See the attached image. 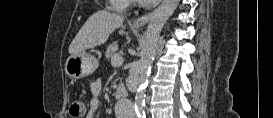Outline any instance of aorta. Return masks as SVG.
<instances>
[{
  "label": "aorta",
  "mask_w": 273,
  "mask_h": 118,
  "mask_svg": "<svg viewBox=\"0 0 273 118\" xmlns=\"http://www.w3.org/2000/svg\"><path fill=\"white\" fill-rule=\"evenodd\" d=\"M178 4L179 0H163L161 5L152 14L147 26L141 50L139 88L135 97V111L139 115L144 114L145 88L158 49L161 30Z\"/></svg>",
  "instance_id": "1"
}]
</instances>
